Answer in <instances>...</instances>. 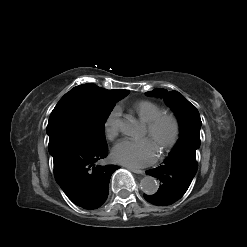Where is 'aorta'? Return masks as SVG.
<instances>
[{
  "label": "aorta",
  "instance_id": "obj_1",
  "mask_svg": "<svg viewBox=\"0 0 247 247\" xmlns=\"http://www.w3.org/2000/svg\"><path fill=\"white\" fill-rule=\"evenodd\" d=\"M139 123L132 118L125 119L120 123V131L129 137H136L140 132ZM142 191L148 195H153L158 191L159 184L156 178L152 176H145L140 182Z\"/></svg>",
  "mask_w": 247,
  "mask_h": 247
}]
</instances>
